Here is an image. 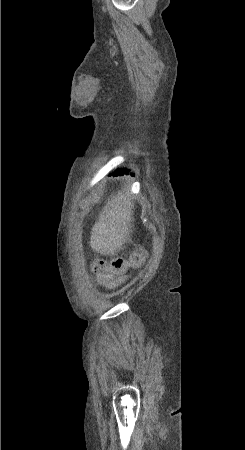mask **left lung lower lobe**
I'll return each instance as SVG.
<instances>
[{
  "label": "left lung lower lobe",
  "mask_w": 245,
  "mask_h": 450,
  "mask_svg": "<svg viewBox=\"0 0 245 450\" xmlns=\"http://www.w3.org/2000/svg\"><path fill=\"white\" fill-rule=\"evenodd\" d=\"M128 172H129V170H127V169H118L114 172L113 175H123L124 173H128Z\"/></svg>",
  "instance_id": "obj_1"
}]
</instances>
